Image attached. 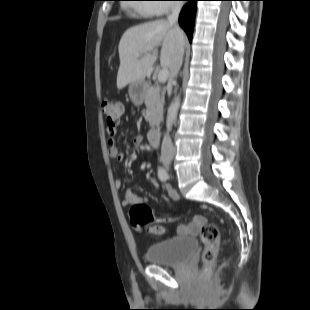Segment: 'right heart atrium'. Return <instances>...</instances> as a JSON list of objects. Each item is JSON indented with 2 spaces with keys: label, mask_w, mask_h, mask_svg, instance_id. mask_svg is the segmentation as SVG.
Segmentation results:
<instances>
[{
  "label": "right heart atrium",
  "mask_w": 310,
  "mask_h": 310,
  "mask_svg": "<svg viewBox=\"0 0 310 310\" xmlns=\"http://www.w3.org/2000/svg\"><path fill=\"white\" fill-rule=\"evenodd\" d=\"M156 2L155 4L150 5V7L154 10L155 15H162L167 13L171 8V0H153Z\"/></svg>",
  "instance_id": "1"
}]
</instances>
